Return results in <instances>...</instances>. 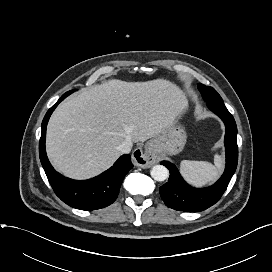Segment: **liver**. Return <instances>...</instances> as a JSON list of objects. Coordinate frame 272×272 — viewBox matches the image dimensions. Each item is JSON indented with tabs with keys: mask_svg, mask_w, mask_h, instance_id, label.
Instances as JSON below:
<instances>
[{
	"mask_svg": "<svg viewBox=\"0 0 272 272\" xmlns=\"http://www.w3.org/2000/svg\"><path fill=\"white\" fill-rule=\"evenodd\" d=\"M187 108L185 94L168 80H109L57 107L47 126V155L68 177L96 176L118 159L124 140L157 136Z\"/></svg>",
	"mask_w": 272,
	"mask_h": 272,
	"instance_id": "liver-1",
	"label": "liver"
}]
</instances>
